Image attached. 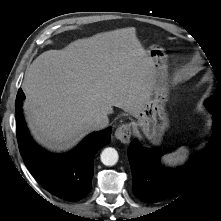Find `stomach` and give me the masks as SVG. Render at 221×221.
Masks as SVG:
<instances>
[{"instance_id":"0dacf381","label":"stomach","mask_w":221,"mask_h":221,"mask_svg":"<svg viewBox=\"0 0 221 221\" xmlns=\"http://www.w3.org/2000/svg\"><path fill=\"white\" fill-rule=\"evenodd\" d=\"M147 53L153 59V85L143 107L135 115L137 121L132 124V127L135 131L141 129L151 143L159 144L164 132L169 127L166 111L169 88L165 82L168 68L167 57L162 48L157 45H152Z\"/></svg>"}]
</instances>
